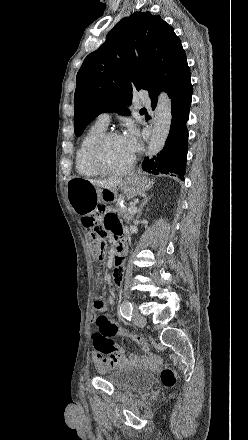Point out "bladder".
I'll list each match as a JSON object with an SVG mask.
<instances>
[{"label": "bladder", "mask_w": 248, "mask_h": 440, "mask_svg": "<svg viewBox=\"0 0 248 440\" xmlns=\"http://www.w3.org/2000/svg\"><path fill=\"white\" fill-rule=\"evenodd\" d=\"M105 378L116 388H146L153 382L149 369L136 366H119L113 370L102 371Z\"/></svg>", "instance_id": "obj_1"}]
</instances>
